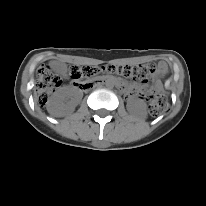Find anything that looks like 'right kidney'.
I'll use <instances>...</instances> for the list:
<instances>
[{"label": "right kidney", "instance_id": "1", "mask_svg": "<svg viewBox=\"0 0 206 206\" xmlns=\"http://www.w3.org/2000/svg\"><path fill=\"white\" fill-rule=\"evenodd\" d=\"M69 98H71L70 101L68 100ZM80 98L81 95L78 92L64 89L50 99L47 110L51 115L65 116L73 112Z\"/></svg>", "mask_w": 206, "mask_h": 206}]
</instances>
